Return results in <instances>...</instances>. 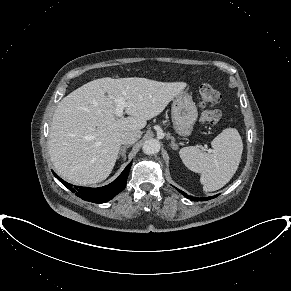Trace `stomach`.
I'll use <instances>...</instances> for the list:
<instances>
[{
  "mask_svg": "<svg viewBox=\"0 0 291 291\" xmlns=\"http://www.w3.org/2000/svg\"><path fill=\"white\" fill-rule=\"evenodd\" d=\"M197 107L192 97L181 92L172 102V122L175 131L181 136H189L197 120Z\"/></svg>",
  "mask_w": 291,
  "mask_h": 291,
  "instance_id": "stomach-1",
  "label": "stomach"
}]
</instances>
